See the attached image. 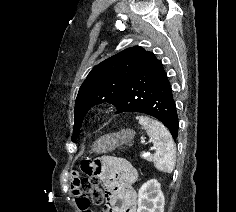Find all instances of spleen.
I'll use <instances>...</instances> for the list:
<instances>
[{
	"mask_svg": "<svg viewBox=\"0 0 236 212\" xmlns=\"http://www.w3.org/2000/svg\"><path fill=\"white\" fill-rule=\"evenodd\" d=\"M136 119L153 143L155 167L162 172L171 173L175 167L176 148L170 132L162 123L148 116H137Z\"/></svg>",
	"mask_w": 236,
	"mask_h": 212,
	"instance_id": "spleen-1",
	"label": "spleen"
}]
</instances>
